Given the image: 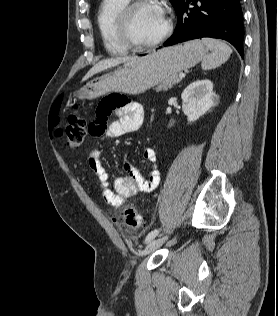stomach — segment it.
Listing matches in <instances>:
<instances>
[{"label":"stomach","mask_w":278,"mask_h":316,"mask_svg":"<svg viewBox=\"0 0 278 316\" xmlns=\"http://www.w3.org/2000/svg\"><path fill=\"white\" fill-rule=\"evenodd\" d=\"M207 51L200 40L153 51L86 83L75 96L79 99H95L110 92L143 93L171 75L195 66Z\"/></svg>","instance_id":"0dacf381"}]
</instances>
